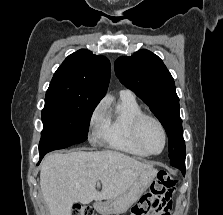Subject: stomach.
Returning <instances> with one entry per match:
<instances>
[{
	"mask_svg": "<svg viewBox=\"0 0 223 215\" xmlns=\"http://www.w3.org/2000/svg\"><path fill=\"white\" fill-rule=\"evenodd\" d=\"M157 175V169L155 167H148L143 169L139 173L136 181H134L132 187L127 189L125 193H121L115 199H108L107 201L94 203L95 209L103 215H109V213H123L127 211L133 203L138 201L139 197L149 189Z\"/></svg>",
	"mask_w": 223,
	"mask_h": 215,
	"instance_id": "stomach-1",
	"label": "stomach"
}]
</instances>
